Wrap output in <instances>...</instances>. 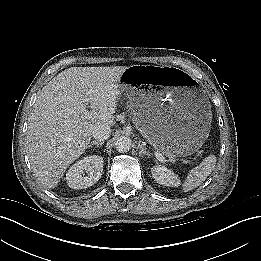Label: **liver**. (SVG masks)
<instances>
[{
  "label": "liver",
  "instance_id": "liver-1",
  "mask_svg": "<svg viewBox=\"0 0 261 261\" xmlns=\"http://www.w3.org/2000/svg\"><path fill=\"white\" fill-rule=\"evenodd\" d=\"M126 69L71 67L39 92L29 115L26 142L33 172L44 187L57 186L87 149L96 127L115 125L117 82Z\"/></svg>",
  "mask_w": 261,
  "mask_h": 261
}]
</instances>
